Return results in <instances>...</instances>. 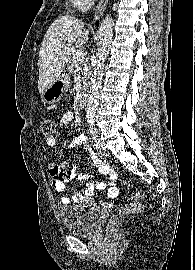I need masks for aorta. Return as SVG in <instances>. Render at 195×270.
I'll list each match as a JSON object with an SVG mask.
<instances>
[{"mask_svg":"<svg viewBox=\"0 0 195 270\" xmlns=\"http://www.w3.org/2000/svg\"><path fill=\"white\" fill-rule=\"evenodd\" d=\"M113 35V19L107 15L101 22L98 31L99 48L97 53L96 65L94 73L91 77V85L86 105L87 117L93 118L96 113V106L99 98V88L103 75V64L109 53V47Z\"/></svg>","mask_w":195,"mask_h":270,"instance_id":"1","label":"aorta"}]
</instances>
